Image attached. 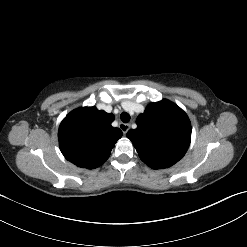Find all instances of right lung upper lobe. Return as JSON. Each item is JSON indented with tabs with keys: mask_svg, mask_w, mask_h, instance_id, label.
Returning a JSON list of instances; mask_svg holds the SVG:
<instances>
[{
	"mask_svg": "<svg viewBox=\"0 0 247 247\" xmlns=\"http://www.w3.org/2000/svg\"><path fill=\"white\" fill-rule=\"evenodd\" d=\"M113 120V114L95 107L78 108L69 113L58 132L64 157L81 168L101 166L122 137V131L111 126Z\"/></svg>",
	"mask_w": 247,
	"mask_h": 247,
	"instance_id": "1",
	"label": "right lung upper lobe"
}]
</instances>
